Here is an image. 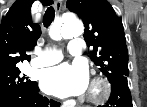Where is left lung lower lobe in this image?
<instances>
[{
	"label": "left lung lower lobe",
	"instance_id": "left-lung-lower-lobe-1",
	"mask_svg": "<svg viewBox=\"0 0 147 107\" xmlns=\"http://www.w3.org/2000/svg\"><path fill=\"white\" fill-rule=\"evenodd\" d=\"M110 83L111 95L103 107H133L127 77L122 76Z\"/></svg>",
	"mask_w": 147,
	"mask_h": 107
}]
</instances>
